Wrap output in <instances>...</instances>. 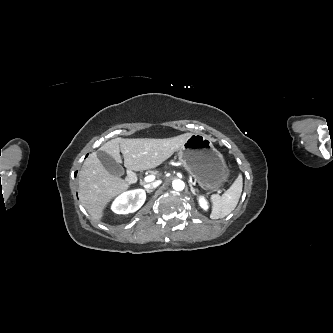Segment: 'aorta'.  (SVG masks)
<instances>
[{
  "mask_svg": "<svg viewBox=\"0 0 333 333\" xmlns=\"http://www.w3.org/2000/svg\"><path fill=\"white\" fill-rule=\"evenodd\" d=\"M172 187L174 190L181 191L185 187V183L182 180H174L172 183Z\"/></svg>",
  "mask_w": 333,
  "mask_h": 333,
  "instance_id": "1",
  "label": "aorta"
}]
</instances>
